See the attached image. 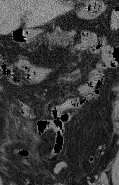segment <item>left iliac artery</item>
Returning a JSON list of instances; mask_svg holds the SVG:
<instances>
[{"label": "left iliac artery", "mask_w": 119, "mask_h": 185, "mask_svg": "<svg viewBox=\"0 0 119 185\" xmlns=\"http://www.w3.org/2000/svg\"><path fill=\"white\" fill-rule=\"evenodd\" d=\"M101 180H102V185H109L107 175L104 171H102L101 173Z\"/></svg>", "instance_id": "left-iliac-artery-1"}]
</instances>
